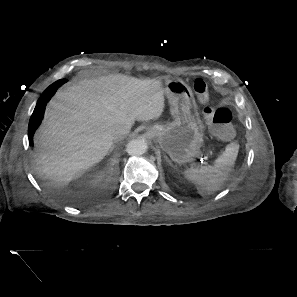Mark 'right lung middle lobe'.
<instances>
[{
	"mask_svg": "<svg viewBox=\"0 0 297 297\" xmlns=\"http://www.w3.org/2000/svg\"><path fill=\"white\" fill-rule=\"evenodd\" d=\"M67 80L65 79H61L56 81L55 83H53L52 85H50L45 91L44 93H49V94H54L56 92V90L58 89V87H60L62 84H64Z\"/></svg>",
	"mask_w": 297,
	"mask_h": 297,
	"instance_id": "right-lung-middle-lobe-1",
	"label": "right lung middle lobe"
}]
</instances>
